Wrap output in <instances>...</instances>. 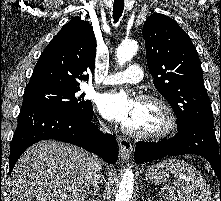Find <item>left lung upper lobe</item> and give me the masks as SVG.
<instances>
[{"label":"left lung upper lobe","mask_w":221,"mask_h":201,"mask_svg":"<svg viewBox=\"0 0 221 201\" xmlns=\"http://www.w3.org/2000/svg\"><path fill=\"white\" fill-rule=\"evenodd\" d=\"M142 35L153 83L174 110L177 128L194 121L213 124L200 60L190 37L176 21L159 13L146 19Z\"/></svg>","instance_id":"obj_1"}]
</instances>
